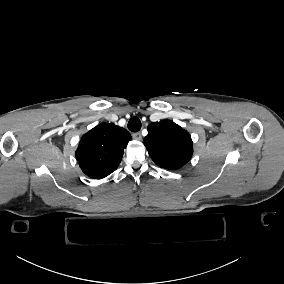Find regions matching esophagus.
I'll list each match as a JSON object with an SVG mask.
<instances>
[{
    "label": "esophagus",
    "mask_w": 284,
    "mask_h": 284,
    "mask_svg": "<svg viewBox=\"0 0 284 284\" xmlns=\"http://www.w3.org/2000/svg\"><path fill=\"white\" fill-rule=\"evenodd\" d=\"M132 137L135 139V140H138V141H141L142 140V136L140 133H133L132 134Z\"/></svg>",
    "instance_id": "34e87169"
}]
</instances>
